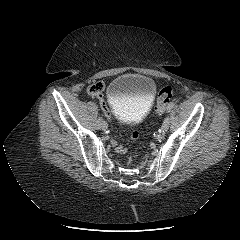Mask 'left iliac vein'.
Listing matches in <instances>:
<instances>
[{"label":"left iliac vein","mask_w":240,"mask_h":240,"mask_svg":"<svg viewBox=\"0 0 240 240\" xmlns=\"http://www.w3.org/2000/svg\"><path fill=\"white\" fill-rule=\"evenodd\" d=\"M169 125H170V118L166 117L161 127L162 133H165L168 130Z\"/></svg>","instance_id":"4c4485c4"}]
</instances>
